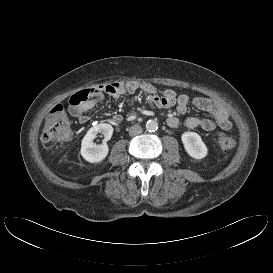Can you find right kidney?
Returning <instances> with one entry per match:
<instances>
[{
    "label": "right kidney",
    "instance_id": "ca27d5eb",
    "mask_svg": "<svg viewBox=\"0 0 273 273\" xmlns=\"http://www.w3.org/2000/svg\"><path fill=\"white\" fill-rule=\"evenodd\" d=\"M100 133L104 136L102 144L94 143L96 135ZM113 134V127L110 124L100 123L90 128L81 142V155L90 162H101L106 158L109 152L107 141H109Z\"/></svg>",
    "mask_w": 273,
    "mask_h": 273
}]
</instances>
